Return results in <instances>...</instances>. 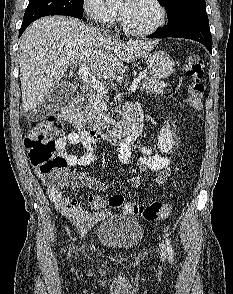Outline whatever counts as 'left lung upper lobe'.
Masks as SVG:
<instances>
[{"label":"left lung upper lobe","mask_w":233,"mask_h":294,"mask_svg":"<svg viewBox=\"0 0 233 294\" xmlns=\"http://www.w3.org/2000/svg\"><path fill=\"white\" fill-rule=\"evenodd\" d=\"M163 4L168 22L175 20L179 16L186 13H202L206 14L205 0H158Z\"/></svg>","instance_id":"1"}]
</instances>
